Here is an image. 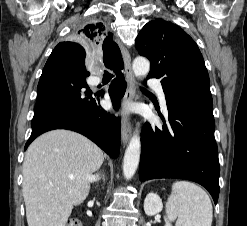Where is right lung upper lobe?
Here are the masks:
<instances>
[{"mask_svg": "<svg viewBox=\"0 0 247 226\" xmlns=\"http://www.w3.org/2000/svg\"><path fill=\"white\" fill-rule=\"evenodd\" d=\"M75 37L88 45H102L103 61L107 68L114 71L123 68V60L118 45L112 40V33L101 22H93L82 27Z\"/></svg>", "mask_w": 247, "mask_h": 226, "instance_id": "right-lung-upper-lobe-1", "label": "right lung upper lobe"}]
</instances>
